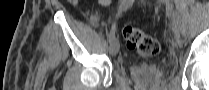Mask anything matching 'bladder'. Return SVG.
Returning a JSON list of instances; mask_svg holds the SVG:
<instances>
[{"instance_id":"31cf9c89","label":"bladder","mask_w":209,"mask_h":90,"mask_svg":"<svg viewBox=\"0 0 209 90\" xmlns=\"http://www.w3.org/2000/svg\"><path fill=\"white\" fill-rule=\"evenodd\" d=\"M130 75L141 89L151 90L163 81L164 68L156 64H136L131 66Z\"/></svg>"}]
</instances>
